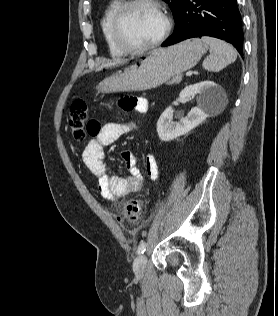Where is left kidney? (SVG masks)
I'll use <instances>...</instances> for the list:
<instances>
[{
	"label": "left kidney",
	"instance_id": "5707ae66",
	"mask_svg": "<svg viewBox=\"0 0 278 316\" xmlns=\"http://www.w3.org/2000/svg\"><path fill=\"white\" fill-rule=\"evenodd\" d=\"M195 95H198V106L192 108L179 123L172 122L173 110L171 106L162 113L157 122V133L162 141H170L185 135L202 123L218 108L224 97V90L213 81H202L185 87L180 92L179 97L186 102Z\"/></svg>",
	"mask_w": 278,
	"mask_h": 316
}]
</instances>
